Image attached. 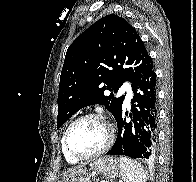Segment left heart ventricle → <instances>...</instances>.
Instances as JSON below:
<instances>
[{"label": "left heart ventricle", "instance_id": "obj_1", "mask_svg": "<svg viewBox=\"0 0 196 182\" xmlns=\"http://www.w3.org/2000/svg\"><path fill=\"white\" fill-rule=\"evenodd\" d=\"M105 137V128L99 120L86 119L72 129L69 146L77 154L88 155L101 148Z\"/></svg>", "mask_w": 196, "mask_h": 182}]
</instances>
